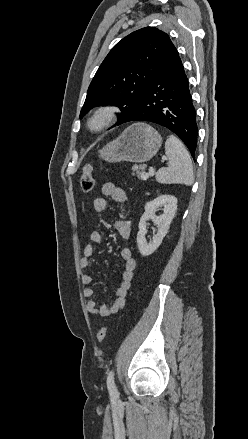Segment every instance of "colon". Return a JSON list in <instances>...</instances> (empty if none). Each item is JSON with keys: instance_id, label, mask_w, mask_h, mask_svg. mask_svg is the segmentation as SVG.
<instances>
[{"instance_id": "obj_1", "label": "colon", "mask_w": 248, "mask_h": 439, "mask_svg": "<svg viewBox=\"0 0 248 439\" xmlns=\"http://www.w3.org/2000/svg\"><path fill=\"white\" fill-rule=\"evenodd\" d=\"M80 187L84 193H90L94 188L93 166L87 164L84 166L80 176ZM108 332L107 326H103L97 333V340L103 342Z\"/></svg>"}]
</instances>
